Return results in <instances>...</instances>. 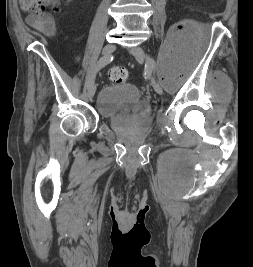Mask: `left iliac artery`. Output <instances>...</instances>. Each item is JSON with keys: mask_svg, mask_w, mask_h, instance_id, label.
I'll return each instance as SVG.
<instances>
[{"mask_svg": "<svg viewBox=\"0 0 253 267\" xmlns=\"http://www.w3.org/2000/svg\"><path fill=\"white\" fill-rule=\"evenodd\" d=\"M146 66L148 70H149V66L155 69V62L151 57L148 58V63L146 64Z\"/></svg>", "mask_w": 253, "mask_h": 267, "instance_id": "obj_1", "label": "left iliac artery"}]
</instances>
